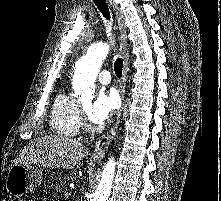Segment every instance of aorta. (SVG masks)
Wrapping results in <instances>:
<instances>
[{
    "mask_svg": "<svg viewBox=\"0 0 221 201\" xmlns=\"http://www.w3.org/2000/svg\"><path fill=\"white\" fill-rule=\"evenodd\" d=\"M107 43H97L89 47L85 57L81 59L75 71L72 86L79 98L90 97L94 90V82L100 71L103 60L109 53ZM115 160L110 158L104 166L100 183L91 201H108L115 175Z\"/></svg>",
    "mask_w": 221,
    "mask_h": 201,
    "instance_id": "1",
    "label": "aorta"
}]
</instances>
